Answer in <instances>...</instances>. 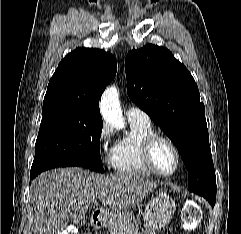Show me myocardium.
<instances>
[{"instance_id": "f54148a6", "label": "myocardium", "mask_w": 241, "mask_h": 234, "mask_svg": "<svg viewBox=\"0 0 241 234\" xmlns=\"http://www.w3.org/2000/svg\"><path fill=\"white\" fill-rule=\"evenodd\" d=\"M159 142L167 143L173 149L175 156H176L175 167L172 171H170L168 173L160 171L154 162L153 153H154L155 146ZM142 159H143L145 166L154 175L166 178V177H170V176L174 175L178 171L180 164H181V152H180L177 144L171 138H169L168 136H165V135L154 133V134L148 136L144 140V143L142 146Z\"/></svg>"}]
</instances>
